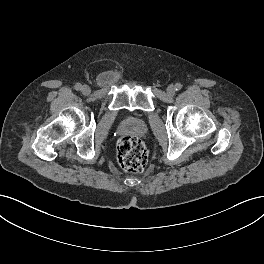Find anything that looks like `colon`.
<instances>
[{"label":"colon","instance_id":"obj_1","mask_svg":"<svg viewBox=\"0 0 264 264\" xmlns=\"http://www.w3.org/2000/svg\"><path fill=\"white\" fill-rule=\"evenodd\" d=\"M116 158L123 170L138 173L144 170L148 155L144 143L139 138L124 136L117 142Z\"/></svg>","mask_w":264,"mask_h":264}]
</instances>
